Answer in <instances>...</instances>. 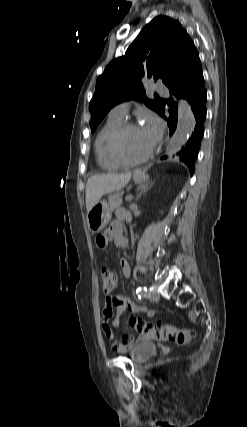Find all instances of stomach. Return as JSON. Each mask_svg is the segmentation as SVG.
<instances>
[{
	"instance_id": "0dacf381",
	"label": "stomach",
	"mask_w": 247,
	"mask_h": 427,
	"mask_svg": "<svg viewBox=\"0 0 247 427\" xmlns=\"http://www.w3.org/2000/svg\"><path fill=\"white\" fill-rule=\"evenodd\" d=\"M147 180L145 175H135L134 181L142 184ZM111 209L105 201L97 202L87 213L88 227L92 232H99L105 228L110 220Z\"/></svg>"
}]
</instances>
